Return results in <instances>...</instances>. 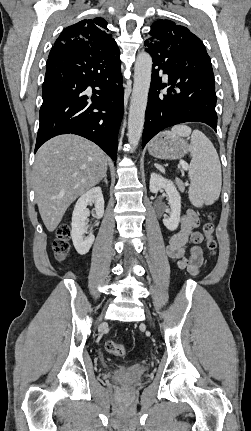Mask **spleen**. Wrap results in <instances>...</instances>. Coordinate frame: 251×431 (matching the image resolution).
Returning a JSON list of instances; mask_svg holds the SVG:
<instances>
[{
  "label": "spleen",
  "mask_w": 251,
  "mask_h": 431,
  "mask_svg": "<svg viewBox=\"0 0 251 431\" xmlns=\"http://www.w3.org/2000/svg\"><path fill=\"white\" fill-rule=\"evenodd\" d=\"M171 133L183 137L191 135L190 202L196 207L213 204L219 198L222 186L221 165L215 147L201 131L192 132L184 124L172 127Z\"/></svg>",
  "instance_id": "3e777b00"
}]
</instances>
